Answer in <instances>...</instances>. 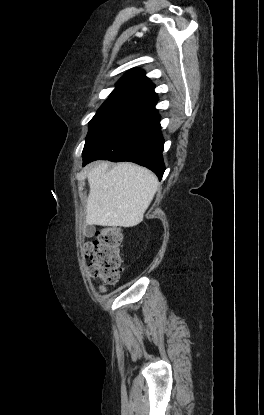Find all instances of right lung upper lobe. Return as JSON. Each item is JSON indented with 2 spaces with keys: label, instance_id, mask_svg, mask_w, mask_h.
I'll list each match as a JSON object with an SVG mask.
<instances>
[{
  "label": "right lung upper lobe",
  "instance_id": "1",
  "mask_svg": "<svg viewBox=\"0 0 264 415\" xmlns=\"http://www.w3.org/2000/svg\"><path fill=\"white\" fill-rule=\"evenodd\" d=\"M154 84L145 76L143 70L135 69L126 73L117 83L111 96L136 98L142 101L155 98Z\"/></svg>",
  "mask_w": 264,
  "mask_h": 415
}]
</instances>
